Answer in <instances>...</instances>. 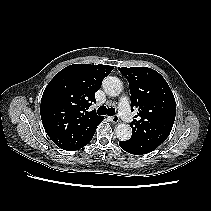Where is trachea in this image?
<instances>
[{
    "label": "trachea",
    "instance_id": "1",
    "mask_svg": "<svg viewBox=\"0 0 211 211\" xmlns=\"http://www.w3.org/2000/svg\"><path fill=\"white\" fill-rule=\"evenodd\" d=\"M97 113L99 115H108L113 116L115 115V109L114 108H106L105 106H101L98 108Z\"/></svg>",
    "mask_w": 211,
    "mask_h": 211
}]
</instances>
